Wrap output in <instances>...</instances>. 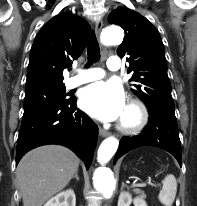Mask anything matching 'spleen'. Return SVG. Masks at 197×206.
Returning a JSON list of instances; mask_svg holds the SVG:
<instances>
[{
	"label": "spleen",
	"mask_w": 197,
	"mask_h": 206,
	"mask_svg": "<svg viewBox=\"0 0 197 206\" xmlns=\"http://www.w3.org/2000/svg\"><path fill=\"white\" fill-rule=\"evenodd\" d=\"M162 183L163 187L158 195V199L163 205L172 206L177 192L176 178L173 174H168Z\"/></svg>",
	"instance_id": "obj_1"
}]
</instances>
